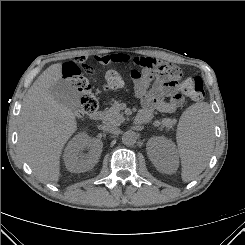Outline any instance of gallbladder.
<instances>
[{
	"instance_id": "obj_1",
	"label": "gallbladder",
	"mask_w": 245,
	"mask_h": 245,
	"mask_svg": "<svg viewBox=\"0 0 245 245\" xmlns=\"http://www.w3.org/2000/svg\"><path fill=\"white\" fill-rule=\"evenodd\" d=\"M50 91L58 102L68 108L75 110L80 106L81 95L69 80H58L53 86H51Z\"/></svg>"
}]
</instances>
